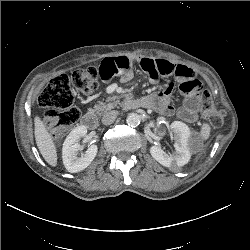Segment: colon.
<instances>
[{"mask_svg":"<svg viewBox=\"0 0 250 250\" xmlns=\"http://www.w3.org/2000/svg\"><path fill=\"white\" fill-rule=\"evenodd\" d=\"M101 80L100 71L96 67L75 70L71 77L59 75L53 78L41 92L39 105L47 109L45 124L54 138L65 135L78 121L80 111L73 105V87L91 94L98 88ZM201 108L211 126L218 128L224 122L225 114L214 106L207 90L200 93Z\"/></svg>","mask_w":250,"mask_h":250,"instance_id":"5ec220e1","label":"colon"}]
</instances>
